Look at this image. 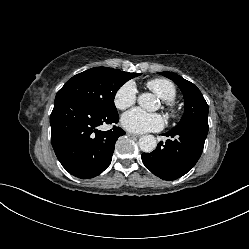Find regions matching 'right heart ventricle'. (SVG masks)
I'll list each match as a JSON object with an SVG mask.
<instances>
[{
  "mask_svg": "<svg viewBox=\"0 0 249 249\" xmlns=\"http://www.w3.org/2000/svg\"><path fill=\"white\" fill-rule=\"evenodd\" d=\"M148 89L164 101H174L177 95L175 85L168 79L155 78L146 83Z\"/></svg>",
  "mask_w": 249,
  "mask_h": 249,
  "instance_id": "e07e8e85",
  "label": "right heart ventricle"
}]
</instances>
